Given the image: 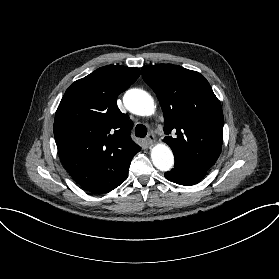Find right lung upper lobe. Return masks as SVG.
I'll list each match as a JSON object with an SVG mask.
<instances>
[{"label": "right lung upper lobe", "instance_id": "right-lung-upper-lobe-1", "mask_svg": "<svg viewBox=\"0 0 279 279\" xmlns=\"http://www.w3.org/2000/svg\"><path fill=\"white\" fill-rule=\"evenodd\" d=\"M139 75L138 68L101 67L71 84L58 106L54 137L61 161L90 193L119 186L141 149L130 138L132 122L116 104L118 95Z\"/></svg>", "mask_w": 279, "mask_h": 279}]
</instances>
